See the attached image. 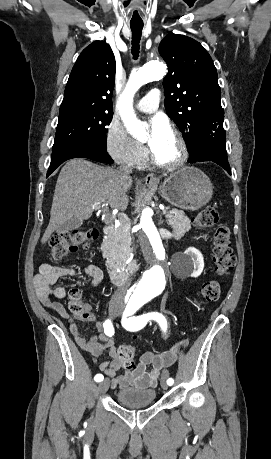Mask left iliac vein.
<instances>
[{"label":"left iliac vein","mask_w":271,"mask_h":459,"mask_svg":"<svg viewBox=\"0 0 271 459\" xmlns=\"http://www.w3.org/2000/svg\"><path fill=\"white\" fill-rule=\"evenodd\" d=\"M169 376L168 372L167 371H164L162 373V376L160 378V382H161V386L163 389H167L168 385L166 383V378Z\"/></svg>","instance_id":"obj_1"}]
</instances>
